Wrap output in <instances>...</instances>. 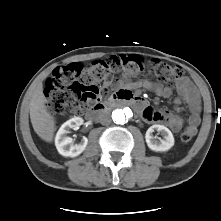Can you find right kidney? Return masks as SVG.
<instances>
[{
  "label": "right kidney",
  "instance_id": "ca27d5eb",
  "mask_svg": "<svg viewBox=\"0 0 221 221\" xmlns=\"http://www.w3.org/2000/svg\"><path fill=\"white\" fill-rule=\"evenodd\" d=\"M83 124V119L80 117H74L66 121L59 128L56 137L55 145L58 152L65 157H76L80 155L88 144V139L83 137L80 143L73 144V139L67 136L71 129H78Z\"/></svg>",
  "mask_w": 221,
  "mask_h": 221
}]
</instances>
